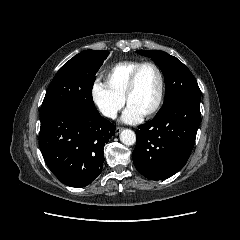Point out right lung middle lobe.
Returning a JSON list of instances; mask_svg holds the SVG:
<instances>
[{
	"label": "right lung middle lobe",
	"instance_id": "1",
	"mask_svg": "<svg viewBox=\"0 0 240 240\" xmlns=\"http://www.w3.org/2000/svg\"><path fill=\"white\" fill-rule=\"evenodd\" d=\"M108 54V51L103 50H86L66 62L46 91L40 115L57 108L97 112L92 88L95 75Z\"/></svg>",
	"mask_w": 240,
	"mask_h": 240
}]
</instances>
